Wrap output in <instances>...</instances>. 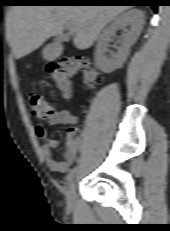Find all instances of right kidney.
Listing matches in <instances>:
<instances>
[{
    "label": "right kidney",
    "instance_id": "1",
    "mask_svg": "<svg viewBox=\"0 0 170 231\" xmlns=\"http://www.w3.org/2000/svg\"><path fill=\"white\" fill-rule=\"evenodd\" d=\"M144 24V13L138 9H131L117 16L113 22L106 27L98 38L95 51L96 66L104 73H111L121 68L126 61L130 47L136 42ZM129 26L123 35L121 46L116 54L107 56L108 46L112 36L120 28Z\"/></svg>",
    "mask_w": 170,
    "mask_h": 231
}]
</instances>
